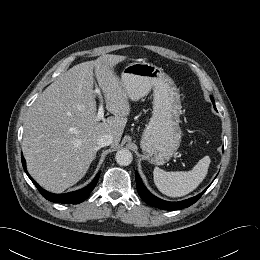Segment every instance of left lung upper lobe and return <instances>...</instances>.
<instances>
[{
	"label": "left lung upper lobe",
	"instance_id": "left-lung-upper-lobe-1",
	"mask_svg": "<svg viewBox=\"0 0 260 260\" xmlns=\"http://www.w3.org/2000/svg\"><path fill=\"white\" fill-rule=\"evenodd\" d=\"M211 100H212V102H213V106H214V108H215V110H216V107H215V104H214V99H213V97H211Z\"/></svg>",
	"mask_w": 260,
	"mask_h": 260
}]
</instances>
